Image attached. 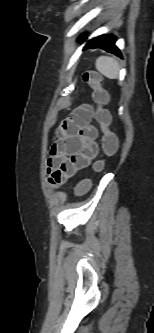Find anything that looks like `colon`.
<instances>
[{"mask_svg": "<svg viewBox=\"0 0 154 333\" xmlns=\"http://www.w3.org/2000/svg\"><path fill=\"white\" fill-rule=\"evenodd\" d=\"M82 79L91 88V97L97 106L95 119L97 120L103 133L102 148L104 158L96 160L92 163V171L94 173H100L105 168L106 159L113 157L117 153L119 142L117 135L110 130L111 115L105 108L108 103V95L101 86V76L95 71H85L82 75ZM90 187V179L84 178L76 185L75 194L83 195L90 189Z\"/></svg>", "mask_w": 154, "mask_h": 333, "instance_id": "colon-1", "label": "colon"}]
</instances>
